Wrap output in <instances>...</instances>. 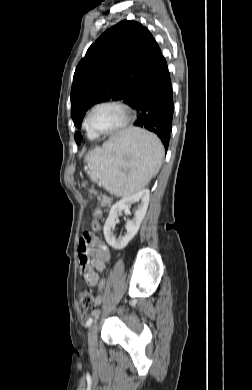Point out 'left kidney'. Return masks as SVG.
Here are the masks:
<instances>
[{"label": "left kidney", "mask_w": 252, "mask_h": 390, "mask_svg": "<svg viewBox=\"0 0 252 390\" xmlns=\"http://www.w3.org/2000/svg\"><path fill=\"white\" fill-rule=\"evenodd\" d=\"M149 190L142 189L133 195L122 198L116 202L110 210L109 216L105 222L103 232L107 243L116 250H121L127 246L130 240L137 234L140 224L146 214L149 204ZM139 202L137 210L134 212L132 220L126 222V234L123 237L116 238L113 235V227L118 215L122 211L129 210L131 204Z\"/></svg>", "instance_id": "5707ae66"}]
</instances>
